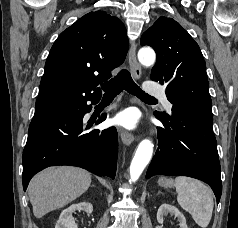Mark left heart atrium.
I'll list each match as a JSON object with an SVG mask.
<instances>
[{
    "label": "left heart atrium",
    "mask_w": 238,
    "mask_h": 228,
    "mask_svg": "<svg viewBox=\"0 0 238 228\" xmlns=\"http://www.w3.org/2000/svg\"><path fill=\"white\" fill-rule=\"evenodd\" d=\"M115 121L120 126L132 129L138 124V114L133 109H127L119 113Z\"/></svg>",
    "instance_id": "1"
}]
</instances>
